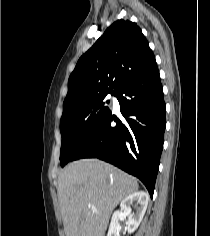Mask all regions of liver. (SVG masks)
<instances>
[{
	"label": "liver",
	"mask_w": 210,
	"mask_h": 236,
	"mask_svg": "<svg viewBox=\"0 0 210 236\" xmlns=\"http://www.w3.org/2000/svg\"><path fill=\"white\" fill-rule=\"evenodd\" d=\"M138 189L134 177L98 159L70 163L57 186L65 235L103 236L115 207Z\"/></svg>",
	"instance_id": "liver-1"
}]
</instances>
